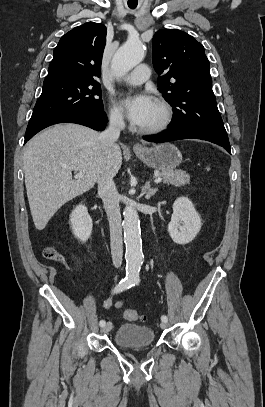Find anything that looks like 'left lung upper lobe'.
I'll list each match as a JSON object with an SVG mask.
<instances>
[{
    "label": "left lung upper lobe",
    "mask_w": 265,
    "mask_h": 407,
    "mask_svg": "<svg viewBox=\"0 0 265 407\" xmlns=\"http://www.w3.org/2000/svg\"><path fill=\"white\" fill-rule=\"evenodd\" d=\"M158 89L173 107L169 129H196L228 139L212 91L204 47L189 34L163 29L152 40Z\"/></svg>",
    "instance_id": "1"
}]
</instances>
